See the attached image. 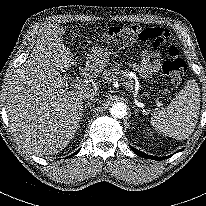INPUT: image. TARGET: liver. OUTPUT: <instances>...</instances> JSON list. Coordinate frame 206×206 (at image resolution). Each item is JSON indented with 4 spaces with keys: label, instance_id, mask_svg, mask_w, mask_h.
I'll use <instances>...</instances> for the list:
<instances>
[{
    "label": "liver",
    "instance_id": "1",
    "mask_svg": "<svg viewBox=\"0 0 206 206\" xmlns=\"http://www.w3.org/2000/svg\"><path fill=\"white\" fill-rule=\"evenodd\" d=\"M63 27L46 24L28 58L14 72L7 92V113L17 140L35 154L62 151L74 137L84 108V93L97 94L100 82L82 83L69 89L60 72H66L79 57L62 40ZM108 54L93 49L83 62L84 70L99 73Z\"/></svg>",
    "mask_w": 206,
    "mask_h": 206
}]
</instances>
